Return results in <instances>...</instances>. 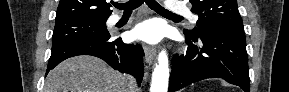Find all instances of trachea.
Here are the masks:
<instances>
[{
  "label": "trachea",
  "mask_w": 289,
  "mask_h": 92,
  "mask_svg": "<svg viewBox=\"0 0 289 92\" xmlns=\"http://www.w3.org/2000/svg\"><path fill=\"white\" fill-rule=\"evenodd\" d=\"M144 2L148 5L149 8H151L152 10H154L156 12H160V13H164V14H167L170 16L182 18V16H179L177 14L169 12L164 7H162L159 3H157L155 0H130V1H128L126 3H122V4L115 3L114 7L124 10V12H132V10L138 8Z\"/></svg>",
  "instance_id": "1"
}]
</instances>
